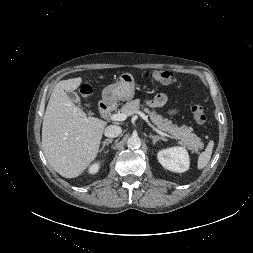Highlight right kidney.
Returning <instances> with one entry per match:
<instances>
[{
    "instance_id": "right-kidney-1",
    "label": "right kidney",
    "mask_w": 253,
    "mask_h": 253,
    "mask_svg": "<svg viewBox=\"0 0 253 253\" xmlns=\"http://www.w3.org/2000/svg\"><path fill=\"white\" fill-rule=\"evenodd\" d=\"M99 168H100V163L98 162V163L91 165L88 169V172L90 174H96L99 171Z\"/></svg>"
}]
</instances>
